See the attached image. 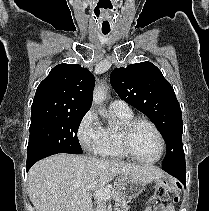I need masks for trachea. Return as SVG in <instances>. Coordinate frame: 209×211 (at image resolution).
<instances>
[{
    "mask_svg": "<svg viewBox=\"0 0 209 211\" xmlns=\"http://www.w3.org/2000/svg\"><path fill=\"white\" fill-rule=\"evenodd\" d=\"M110 31H102L104 35H107Z\"/></svg>",
    "mask_w": 209,
    "mask_h": 211,
    "instance_id": "trachea-1",
    "label": "trachea"
}]
</instances>
